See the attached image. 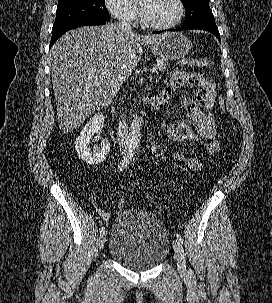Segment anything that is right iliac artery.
Listing matches in <instances>:
<instances>
[{"mask_svg":"<svg viewBox=\"0 0 272 303\" xmlns=\"http://www.w3.org/2000/svg\"><path fill=\"white\" fill-rule=\"evenodd\" d=\"M136 145L135 144H130L128 146V149L126 151V155L124 156V158L122 159V161L120 162V164L118 165V169L120 171L125 170V168H127V166L129 165V163L131 162L133 156H134V151H135ZM105 232V227H101L100 228V233Z\"/></svg>","mask_w":272,"mask_h":303,"instance_id":"obj_1","label":"right iliac artery"}]
</instances>
